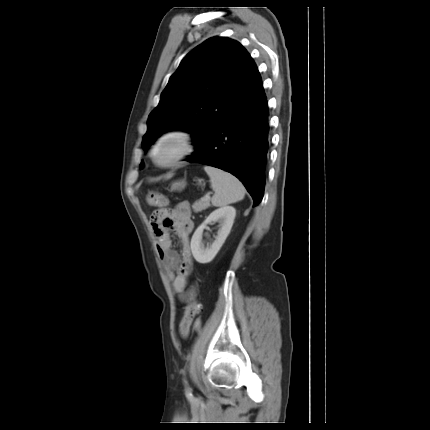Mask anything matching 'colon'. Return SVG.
<instances>
[{
	"mask_svg": "<svg viewBox=\"0 0 430 430\" xmlns=\"http://www.w3.org/2000/svg\"><path fill=\"white\" fill-rule=\"evenodd\" d=\"M147 203L150 206L158 207V211L163 212L167 210L168 198L162 193L150 192L147 195ZM199 311V303L195 299H192L186 306L184 316L181 320L180 333L182 336L187 337L189 335L194 318L199 313Z\"/></svg>",
	"mask_w": 430,
	"mask_h": 430,
	"instance_id": "5ec220e1",
	"label": "colon"
}]
</instances>
